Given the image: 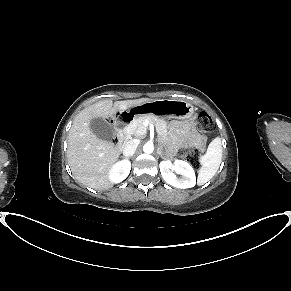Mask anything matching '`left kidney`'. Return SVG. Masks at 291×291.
I'll list each match as a JSON object with an SVG mask.
<instances>
[{
	"mask_svg": "<svg viewBox=\"0 0 291 291\" xmlns=\"http://www.w3.org/2000/svg\"><path fill=\"white\" fill-rule=\"evenodd\" d=\"M159 167L163 179L173 187L186 189L196 185L195 171L186 161L175 160L171 163L164 160L160 162ZM173 171L181 176L177 177Z\"/></svg>",
	"mask_w": 291,
	"mask_h": 291,
	"instance_id": "obj_1",
	"label": "left kidney"
}]
</instances>
